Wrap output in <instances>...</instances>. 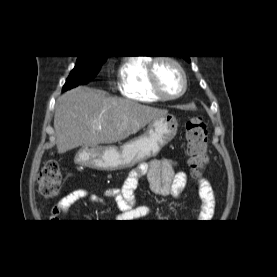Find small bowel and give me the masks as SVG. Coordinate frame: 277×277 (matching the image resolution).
I'll use <instances>...</instances> for the list:
<instances>
[{
    "mask_svg": "<svg viewBox=\"0 0 277 277\" xmlns=\"http://www.w3.org/2000/svg\"><path fill=\"white\" fill-rule=\"evenodd\" d=\"M176 162L170 159H155L149 163L138 165L127 177L121 189H107L101 194L86 189H76L67 193L52 208L49 220L58 222L65 217L70 208L77 202L88 200L92 203L105 206L108 199L113 200L121 213L118 219L138 220L151 213V208L139 205L134 191L141 177L148 178L151 190L159 196L181 197L186 186L187 175L183 171H176ZM198 193L201 200L196 218L208 220L213 216L216 196L210 183L205 178H198Z\"/></svg>",
    "mask_w": 277,
    "mask_h": 277,
    "instance_id": "obj_1",
    "label": "small bowel"
}]
</instances>
